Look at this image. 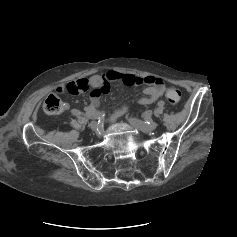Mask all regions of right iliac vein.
<instances>
[{
  "mask_svg": "<svg viewBox=\"0 0 237 237\" xmlns=\"http://www.w3.org/2000/svg\"><path fill=\"white\" fill-rule=\"evenodd\" d=\"M89 127H90L91 130L97 131L98 127H99V124L96 121H92V122L89 123Z\"/></svg>",
  "mask_w": 237,
  "mask_h": 237,
  "instance_id": "1",
  "label": "right iliac vein"
}]
</instances>
